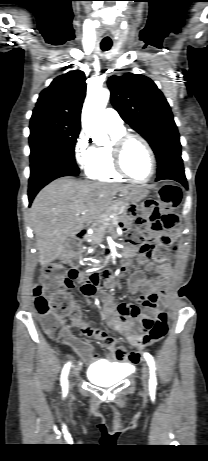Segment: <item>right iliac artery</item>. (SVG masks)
<instances>
[{"mask_svg": "<svg viewBox=\"0 0 208 461\" xmlns=\"http://www.w3.org/2000/svg\"><path fill=\"white\" fill-rule=\"evenodd\" d=\"M69 367H70V363H67L63 370H62V374H61V386L63 387L64 391H67V387H68V380H67V376H68V372H69Z\"/></svg>", "mask_w": 208, "mask_h": 461, "instance_id": "82829eb1", "label": "right iliac artery"}]
</instances>
